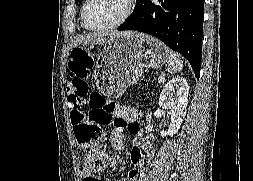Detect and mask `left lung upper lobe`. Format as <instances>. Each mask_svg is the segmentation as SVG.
<instances>
[{"label": "left lung upper lobe", "instance_id": "obj_1", "mask_svg": "<svg viewBox=\"0 0 253 181\" xmlns=\"http://www.w3.org/2000/svg\"><path fill=\"white\" fill-rule=\"evenodd\" d=\"M80 0H76V3H78ZM137 2H138V0H137Z\"/></svg>", "mask_w": 253, "mask_h": 181}]
</instances>
